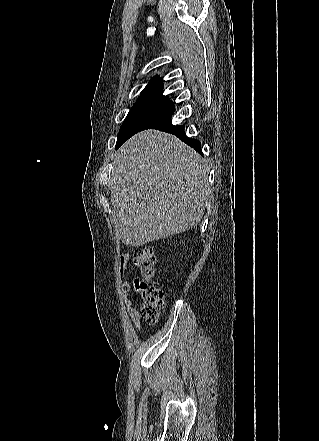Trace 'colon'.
I'll use <instances>...</instances> for the list:
<instances>
[{
    "instance_id": "obj_1",
    "label": "colon",
    "mask_w": 319,
    "mask_h": 441,
    "mask_svg": "<svg viewBox=\"0 0 319 441\" xmlns=\"http://www.w3.org/2000/svg\"><path fill=\"white\" fill-rule=\"evenodd\" d=\"M132 259L138 268L134 289L139 301L140 313L147 323L155 324L165 306L164 293L157 280L155 252L150 246L138 247L134 250Z\"/></svg>"
}]
</instances>
